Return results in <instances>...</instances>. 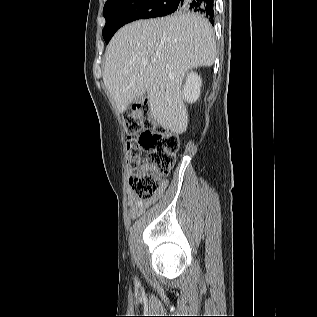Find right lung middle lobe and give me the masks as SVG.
Segmentation results:
<instances>
[{"mask_svg":"<svg viewBox=\"0 0 317 317\" xmlns=\"http://www.w3.org/2000/svg\"><path fill=\"white\" fill-rule=\"evenodd\" d=\"M174 0H108L103 9L106 19L102 34L106 43L123 25L138 19L162 17L177 10Z\"/></svg>","mask_w":317,"mask_h":317,"instance_id":"dd1d6c3e","label":"right lung middle lobe"}]
</instances>
